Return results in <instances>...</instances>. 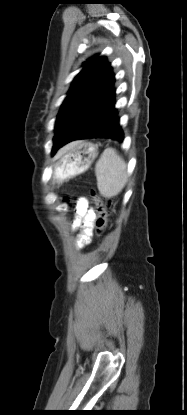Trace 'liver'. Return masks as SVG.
I'll list each match as a JSON object with an SVG mask.
<instances>
[{
	"label": "liver",
	"instance_id": "obj_1",
	"mask_svg": "<svg viewBox=\"0 0 187 415\" xmlns=\"http://www.w3.org/2000/svg\"><path fill=\"white\" fill-rule=\"evenodd\" d=\"M70 146H71V144H69V145H67V146H65L61 151H60V154L61 153H63L64 151H66L67 149H69L70 148Z\"/></svg>",
	"mask_w": 187,
	"mask_h": 415
}]
</instances>
